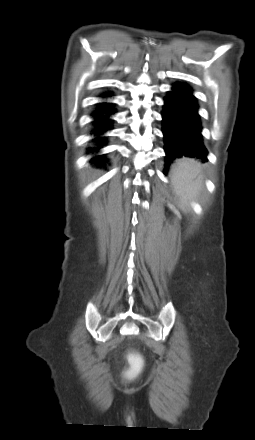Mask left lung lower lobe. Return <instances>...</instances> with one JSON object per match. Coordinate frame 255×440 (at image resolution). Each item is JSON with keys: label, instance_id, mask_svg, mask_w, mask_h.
Wrapping results in <instances>:
<instances>
[{"label": "left lung lower lobe", "instance_id": "0a47b994", "mask_svg": "<svg viewBox=\"0 0 255 440\" xmlns=\"http://www.w3.org/2000/svg\"><path fill=\"white\" fill-rule=\"evenodd\" d=\"M164 102V173L168 172L174 160L184 156L207 161L208 151L203 143L199 106L191 87L186 83L176 82L164 98Z\"/></svg>", "mask_w": 255, "mask_h": 440}]
</instances>
